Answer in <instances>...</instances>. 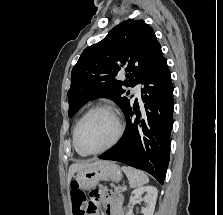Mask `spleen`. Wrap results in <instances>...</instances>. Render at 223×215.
Segmentation results:
<instances>
[{
  "instance_id": "spleen-1",
  "label": "spleen",
  "mask_w": 223,
  "mask_h": 215,
  "mask_svg": "<svg viewBox=\"0 0 223 215\" xmlns=\"http://www.w3.org/2000/svg\"><path fill=\"white\" fill-rule=\"evenodd\" d=\"M122 171L126 173L130 187H140V185H144V183H148L149 177H147L146 173L144 171H141V169H135V167H126V165H123L121 167Z\"/></svg>"
}]
</instances>
